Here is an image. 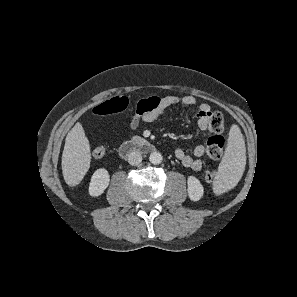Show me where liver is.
I'll return each mask as SVG.
<instances>
[{"label": "liver", "instance_id": "1", "mask_svg": "<svg viewBox=\"0 0 297 297\" xmlns=\"http://www.w3.org/2000/svg\"><path fill=\"white\" fill-rule=\"evenodd\" d=\"M91 162L89 141L78 122L68 132L62 153V173L69 186L78 185L87 173Z\"/></svg>", "mask_w": 297, "mask_h": 297}]
</instances>
